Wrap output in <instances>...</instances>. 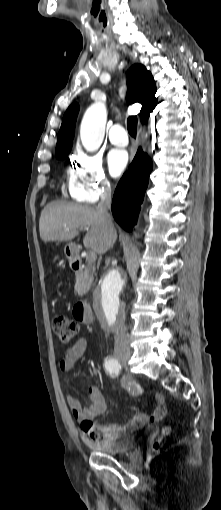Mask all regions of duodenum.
Masks as SVG:
<instances>
[{"mask_svg": "<svg viewBox=\"0 0 221 510\" xmlns=\"http://www.w3.org/2000/svg\"><path fill=\"white\" fill-rule=\"evenodd\" d=\"M71 267L74 271H82L81 261L75 254L71 260ZM75 315L84 323H90L93 321V315L90 311L89 304L86 300L80 301L74 308Z\"/></svg>", "mask_w": 221, "mask_h": 510, "instance_id": "obj_1", "label": "duodenum"}]
</instances>
